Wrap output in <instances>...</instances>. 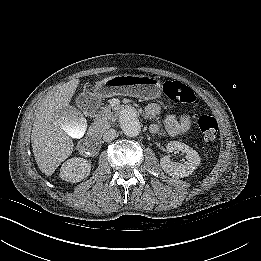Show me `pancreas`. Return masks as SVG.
<instances>
[{"label": "pancreas", "instance_id": "cf45deb5", "mask_svg": "<svg viewBox=\"0 0 261 261\" xmlns=\"http://www.w3.org/2000/svg\"><path fill=\"white\" fill-rule=\"evenodd\" d=\"M111 121L108 119L107 116H98L94 123L93 128L99 132L103 133L107 128L110 127Z\"/></svg>", "mask_w": 261, "mask_h": 261}]
</instances>
